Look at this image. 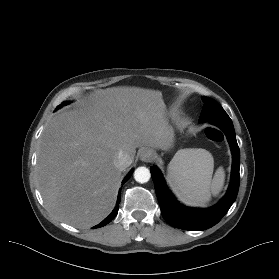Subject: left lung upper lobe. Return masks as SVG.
<instances>
[{"mask_svg":"<svg viewBox=\"0 0 279 279\" xmlns=\"http://www.w3.org/2000/svg\"><path fill=\"white\" fill-rule=\"evenodd\" d=\"M204 106L200 115V122H213L216 120H231L224 109L213 99L203 97Z\"/></svg>","mask_w":279,"mask_h":279,"instance_id":"obj_1","label":"left lung upper lobe"}]
</instances>
